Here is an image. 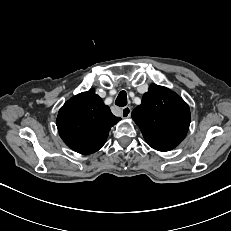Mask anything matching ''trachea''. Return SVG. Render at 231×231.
<instances>
[{
	"mask_svg": "<svg viewBox=\"0 0 231 231\" xmlns=\"http://www.w3.org/2000/svg\"><path fill=\"white\" fill-rule=\"evenodd\" d=\"M115 104L119 107H124L127 105V93L125 91H121L116 98Z\"/></svg>",
	"mask_w": 231,
	"mask_h": 231,
	"instance_id": "trachea-1",
	"label": "trachea"
}]
</instances>
